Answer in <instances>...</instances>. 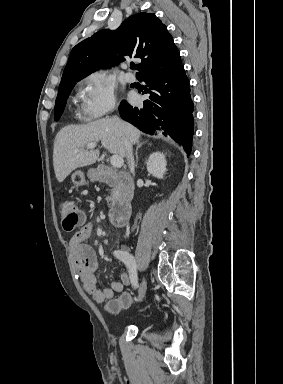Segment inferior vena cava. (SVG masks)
Returning <instances> with one entry per match:
<instances>
[{
    "label": "inferior vena cava",
    "instance_id": "obj_1",
    "mask_svg": "<svg viewBox=\"0 0 283 384\" xmlns=\"http://www.w3.org/2000/svg\"><path fill=\"white\" fill-rule=\"evenodd\" d=\"M124 144H125L126 158H127L128 166L130 168L131 174H134L135 166H134V158H133V152H132V144H130V142H128V140H126V138H124Z\"/></svg>",
    "mask_w": 283,
    "mask_h": 384
}]
</instances>
